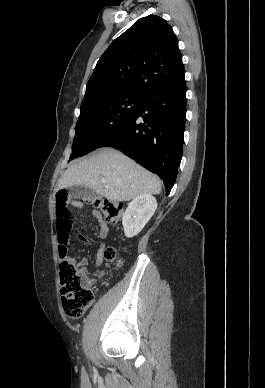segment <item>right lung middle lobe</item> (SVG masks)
<instances>
[{
	"mask_svg": "<svg viewBox=\"0 0 265 388\" xmlns=\"http://www.w3.org/2000/svg\"><path fill=\"white\" fill-rule=\"evenodd\" d=\"M142 95L102 90L84 97L70 160L95 149L139 107Z\"/></svg>",
	"mask_w": 265,
	"mask_h": 388,
	"instance_id": "1",
	"label": "right lung middle lobe"
}]
</instances>
